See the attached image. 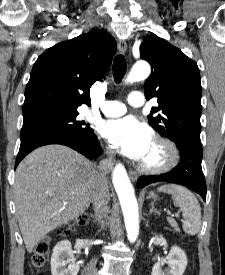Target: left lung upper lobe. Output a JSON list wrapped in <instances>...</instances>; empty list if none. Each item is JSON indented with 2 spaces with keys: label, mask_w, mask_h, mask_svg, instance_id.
Segmentation results:
<instances>
[{
  "label": "left lung upper lobe",
  "mask_w": 225,
  "mask_h": 275,
  "mask_svg": "<svg viewBox=\"0 0 225 275\" xmlns=\"http://www.w3.org/2000/svg\"><path fill=\"white\" fill-rule=\"evenodd\" d=\"M140 55L153 68L144 84L145 96L157 97L159 103L148 115L149 124L177 147L201 144L202 87L196 62L156 35L144 38ZM157 111L161 114L154 117Z\"/></svg>",
  "instance_id": "1"
}]
</instances>
